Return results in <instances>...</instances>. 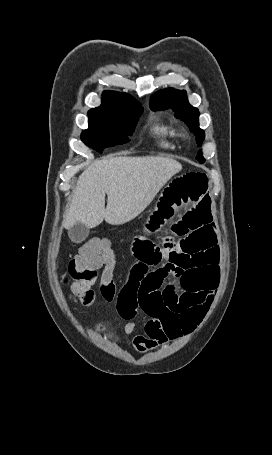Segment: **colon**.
<instances>
[{
    "label": "colon",
    "mask_w": 272,
    "mask_h": 455,
    "mask_svg": "<svg viewBox=\"0 0 272 455\" xmlns=\"http://www.w3.org/2000/svg\"><path fill=\"white\" fill-rule=\"evenodd\" d=\"M116 265L110 242L104 238L87 241L67 265V279H71L70 293L80 305L91 304L97 293L106 301L116 299L118 291L113 278ZM102 268L99 275L98 270Z\"/></svg>",
    "instance_id": "colon-1"
}]
</instances>
